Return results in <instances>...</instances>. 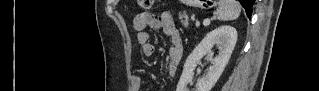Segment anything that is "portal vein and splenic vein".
<instances>
[{"instance_id": "portal-vein-and-splenic-vein-1", "label": "portal vein and splenic vein", "mask_w": 319, "mask_h": 91, "mask_svg": "<svg viewBox=\"0 0 319 91\" xmlns=\"http://www.w3.org/2000/svg\"><path fill=\"white\" fill-rule=\"evenodd\" d=\"M209 23H210L209 20H204V22H203L204 25H208Z\"/></svg>"}]
</instances>
